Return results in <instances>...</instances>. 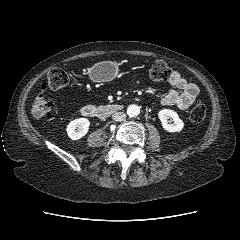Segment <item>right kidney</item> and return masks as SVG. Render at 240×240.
Listing matches in <instances>:
<instances>
[{"mask_svg": "<svg viewBox=\"0 0 240 240\" xmlns=\"http://www.w3.org/2000/svg\"><path fill=\"white\" fill-rule=\"evenodd\" d=\"M90 126V121L86 118H79L71 121L67 128L66 131L68 133V136L72 140H78L84 137Z\"/></svg>", "mask_w": 240, "mask_h": 240, "instance_id": "obj_1", "label": "right kidney"}]
</instances>
